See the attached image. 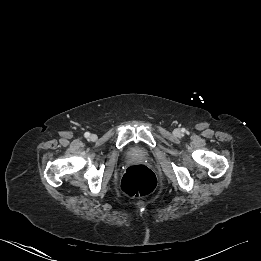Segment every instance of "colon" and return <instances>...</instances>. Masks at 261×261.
I'll list each match as a JSON object with an SVG mask.
<instances>
[{"label": "colon", "instance_id": "obj_1", "mask_svg": "<svg viewBox=\"0 0 261 261\" xmlns=\"http://www.w3.org/2000/svg\"><path fill=\"white\" fill-rule=\"evenodd\" d=\"M156 186L155 174L145 165H133L126 169L120 180L122 192L130 197L143 196Z\"/></svg>", "mask_w": 261, "mask_h": 261}]
</instances>
